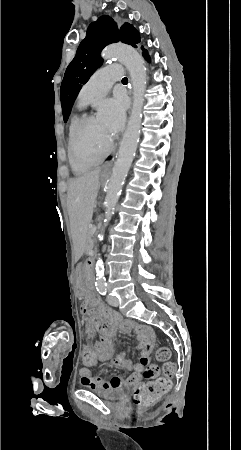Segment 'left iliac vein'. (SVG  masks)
<instances>
[{
    "mask_svg": "<svg viewBox=\"0 0 241 450\" xmlns=\"http://www.w3.org/2000/svg\"><path fill=\"white\" fill-rule=\"evenodd\" d=\"M107 301L110 305L117 307L119 305L118 298L113 297L111 295L107 296Z\"/></svg>",
    "mask_w": 241,
    "mask_h": 450,
    "instance_id": "4c4485c4",
    "label": "left iliac vein"
}]
</instances>
